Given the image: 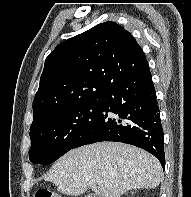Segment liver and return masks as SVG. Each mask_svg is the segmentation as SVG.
<instances>
[{"instance_id":"liver-1","label":"liver","mask_w":191,"mask_h":197,"mask_svg":"<svg viewBox=\"0 0 191 197\" xmlns=\"http://www.w3.org/2000/svg\"><path fill=\"white\" fill-rule=\"evenodd\" d=\"M159 160L145 150L120 142H100L73 149L45 174L58 192L79 196L91 188L98 197H120L137 188H155L162 181ZM103 186H99V182Z\"/></svg>"}]
</instances>
